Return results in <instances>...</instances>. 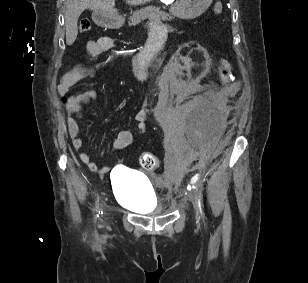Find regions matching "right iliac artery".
<instances>
[{
	"label": "right iliac artery",
	"mask_w": 308,
	"mask_h": 283,
	"mask_svg": "<svg viewBox=\"0 0 308 283\" xmlns=\"http://www.w3.org/2000/svg\"><path fill=\"white\" fill-rule=\"evenodd\" d=\"M96 211L99 212V214H100L99 205L97 206V210ZM101 213H103V212H101ZM97 216H98V214H97Z\"/></svg>",
	"instance_id": "82829eb1"
}]
</instances>
